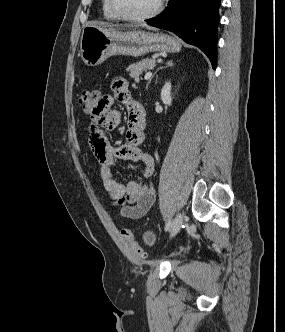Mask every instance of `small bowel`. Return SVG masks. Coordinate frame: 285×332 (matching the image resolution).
<instances>
[{"label":"small bowel","instance_id":"1","mask_svg":"<svg viewBox=\"0 0 285 332\" xmlns=\"http://www.w3.org/2000/svg\"><path fill=\"white\" fill-rule=\"evenodd\" d=\"M115 97L128 107V128L126 143L112 145L101 130H112L121 121L119 111L113 109L117 101L112 96H97L91 111L87 112L89 142L95 156L100 161V176L107 196L122 206V216L129 219L143 217L155 202V193L149 182L130 180L126 184L118 181L113 173L116 160L132 161L143 167V175L150 178L155 170L153 156L143 151L140 145L145 140V118L140 105L130 100L128 83L123 77H115L111 82Z\"/></svg>","mask_w":285,"mask_h":332}]
</instances>
